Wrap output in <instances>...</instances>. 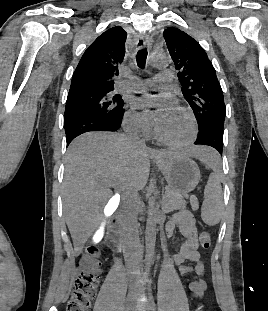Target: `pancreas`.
Instances as JSON below:
<instances>
[{"mask_svg": "<svg viewBox=\"0 0 268 311\" xmlns=\"http://www.w3.org/2000/svg\"><path fill=\"white\" fill-rule=\"evenodd\" d=\"M161 204L164 213H170L175 210L186 208L187 205L182 194L174 192L169 188L166 189V193L163 195Z\"/></svg>", "mask_w": 268, "mask_h": 311, "instance_id": "cf45deb5", "label": "pancreas"}]
</instances>
